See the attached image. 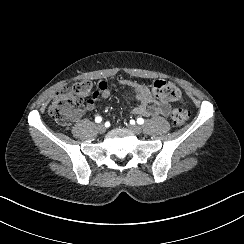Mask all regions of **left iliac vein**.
<instances>
[{
	"label": "left iliac vein",
	"instance_id": "1",
	"mask_svg": "<svg viewBox=\"0 0 244 244\" xmlns=\"http://www.w3.org/2000/svg\"><path fill=\"white\" fill-rule=\"evenodd\" d=\"M129 129L134 133V134H141L142 133V128L139 125H130Z\"/></svg>",
	"mask_w": 244,
	"mask_h": 244
}]
</instances>
